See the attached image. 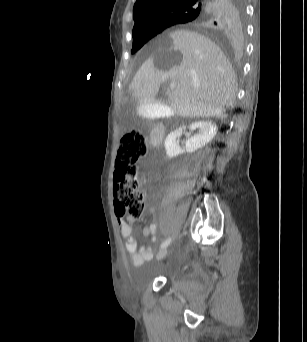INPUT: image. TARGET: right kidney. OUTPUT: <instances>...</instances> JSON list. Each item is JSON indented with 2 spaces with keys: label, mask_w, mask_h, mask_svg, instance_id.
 <instances>
[{
  "label": "right kidney",
  "mask_w": 307,
  "mask_h": 342,
  "mask_svg": "<svg viewBox=\"0 0 307 342\" xmlns=\"http://www.w3.org/2000/svg\"><path fill=\"white\" fill-rule=\"evenodd\" d=\"M196 128H199L200 134L189 138L185 144V148H180L177 138H181L183 130H186V126H182V128H178V130L170 132L164 144L166 156H168V158H176V156L185 154V152H195L198 148L206 146V144H208V142H210V140H212V138L217 134V126L214 122H210V120L193 122V124H190L189 126V130H196Z\"/></svg>",
  "instance_id": "obj_1"
}]
</instances>
